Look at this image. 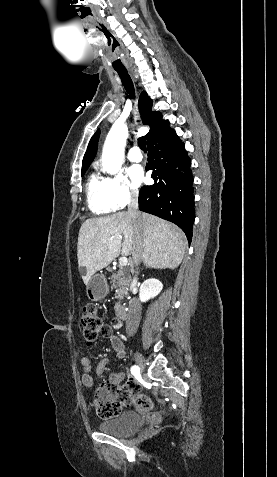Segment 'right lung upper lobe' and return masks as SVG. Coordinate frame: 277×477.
Segmentation results:
<instances>
[{
    "label": "right lung upper lobe",
    "mask_w": 277,
    "mask_h": 477,
    "mask_svg": "<svg viewBox=\"0 0 277 477\" xmlns=\"http://www.w3.org/2000/svg\"><path fill=\"white\" fill-rule=\"evenodd\" d=\"M152 104L151 98L145 91H143L139 98V106L143 123L150 126V130L146 134L148 140L147 144L160 139L170 130L168 121L162 120L161 114L159 112L151 110ZM99 135L100 130H97L92 136L88 144L87 151L83 157L82 169H88L91 162L93 161L97 151Z\"/></svg>",
    "instance_id": "cb5924a9"
}]
</instances>
